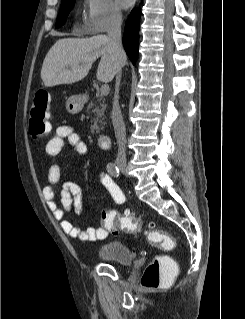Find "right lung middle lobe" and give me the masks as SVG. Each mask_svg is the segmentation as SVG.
<instances>
[{"instance_id": "right-lung-middle-lobe-1", "label": "right lung middle lobe", "mask_w": 245, "mask_h": 319, "mask_svg": "<svg viewBox=\"0 0 245 319\" xmlns=\"http://www.w3.org/2000/svg\"><path fill=\"white\" fill-rule=\"evenodd\" d=\"M75 1L76 0H62L60 13L58 15L57 22H56V28L61 27L65 23L66 18L70 10L72 9V6L75 3Z\"/></svg>"}]
</instances>
